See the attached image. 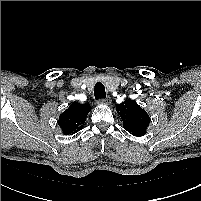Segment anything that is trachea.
Returning <instances> with one entry per match:
<instances>
[{
  "mask_svg": "<svg viewBox=\"0 0 201 201\" xmlns=\"http://www.w3.org/2000/svg\"><path fill=\"white\" fill-rule=\"evenodd\" d=\"M94 96L96 100L106 98L105 87L101 82L96 83L94 88Z\"/></svg>",
  "mask_w": 201,
  "mask_h": 201,
  "instance_id": "3493384b",
  "label": "trachea"
}]
</instances>
